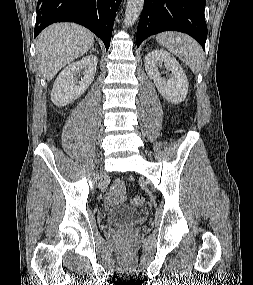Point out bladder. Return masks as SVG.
<instances>
[{
  "label": "bladder",
  "mask_w": 253,
  "mask_h": 285,
  "mask_svg": "<svg viewBox=\"0 0 253 285\" xmlns=\"http://www.w3.org/2000/svg\"><path fill=\"white\" fill-rule=\"evenodd\" d=\"M105 220L110 226L127 227L139 224L143 220V216L141 211L135 208L119 206L108 210L105 213Z\"/></svg>",
  "instance_id": "31cf9c89"
}]
</instances>
